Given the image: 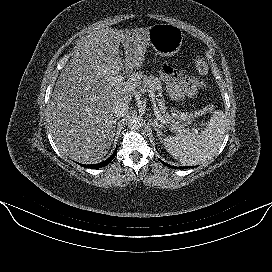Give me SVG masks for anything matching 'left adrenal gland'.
<instances>
[{"label":"left adrenal gland","mask_w":272,"mask_h":272,"mask_svg":"<svg viewBox=\"0 0 272 272\" xmlns=\"http://www.w3.org/2000/svg\"><path fill=\"white\" fill-rule=\"evenodd\" d=\"M151 125L154 127L156 133H157V136L159 137V140L161 141V125H159L157 122L151 120ZM161 128V129H160Z\"/></svg>","instance_id":"1"}]
</instances>
